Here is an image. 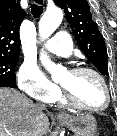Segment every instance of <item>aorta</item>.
<instances>
[{
	"instance_id": "aorta-1",
	"label": "aorta",
	"mask_w": 117,
	"mask_h": 136,
	"mask_svg": "<svg viewBox=\"0 0 117 136\" xmlns=\"http://www.w3.org/2000/svg\"><path fill=\"white\" fill-rule=\"evenodd\" d=\"M63 19V13L60 9L54 8L47 10L39 21V35L42 40H45L51 36V34L58 28ZM40 59L45 68L55 78L62 70V67L53 63L46 53L40 54Z\"/></svg>"
}]
</instances>
